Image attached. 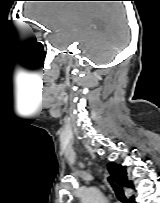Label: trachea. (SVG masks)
I'll return each mask as SVG.
<instances>
[{
	"label": "trachea",
	"mask_w": 160,
	"mask_h": 203,
	"mask_svg": "<svg viewBox=\"0 0 160 203\" xmlns=\"http://www.w3.org/2000/svg\"><path fill=\"white\" fill-rule=\"evenodd\" d=\"M108 182L110 183V185L112 186L117 198L122 202V203H129L128 199L126 198L123 190L121 188H119L118 186H116L112 179L110 177H108Z\"/></svg>",
	"instance_id": "obj_1"
}]
</instances>
